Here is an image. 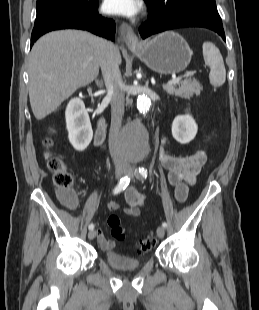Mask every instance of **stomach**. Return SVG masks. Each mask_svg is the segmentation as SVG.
Instances as JSON below:
<instances>
[{"label":"stomach","instance_id":"1","mask_svg":"<svg viewBox=\"0 0 259 310\" xmlns=\"http://www.w3.org/2000/svg\"><path fill=\"white\" fill-rule=\"evenodd\" d=\"M131 51L150 69L160 74H176L187 68L192 51L188 43L177 33L168 31L157 35Z\"/></svg>","mask_w":259,"mask_h":310}]
</instances>
